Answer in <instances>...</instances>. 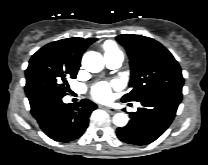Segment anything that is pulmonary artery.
I'll return each mask as SVG.
<instances>
[{
    "label": "pulmonary artery",
    "mask_w": 208,
    "mask_h": 165,
    "mask_svg": "<svg viewBox=\"0 0 208 165\" xmlns=\"http://www.w3.org/2000/svg\"><path fill=\"white\" fill-rule=\"evenodd\" d=\"M105 62H106V65L109 67V68H118L122 61H123V55L120 54V53H108V54H105Z\"/></svg>",
    "instance_id": "1"
}]
</instances>
